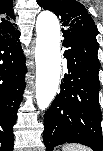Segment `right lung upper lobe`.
Here are the masks:
<instances>
[{
	"label": "right lung upper lobe",
	"instance_id": "obj_1",
	"mask_svg": "<svg viewBox=\"0 0 103 151\" xmlns=\"http://www.w3.org/2000/svg\"><path fill=\"white\" fill-rule=\"evenodd\" d=\"M12 7V0H0V36H8L18 31L13 23L15 16Z\"/></svg>",
	"mask_w": 103,
	"mask_h": 151
}]
</instances>
